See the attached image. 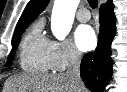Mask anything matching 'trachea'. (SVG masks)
Segmentation results:
<instances>
[{
	"label": "trachea",
	"instance_id": "1",
	"mask_svg": "<svg viewBox=\"0 0 127 92\" xmlns=\"http://www.w3.org/2000/svg\"><path fill=\"white\" fill-rule=\"evenodd\" d=\"M88 3L90 5L91 8H97L98 6V0H88Z\"/></svg>",
	"mask_w": 127,
	"mask_h": 92
}]
</instances>
